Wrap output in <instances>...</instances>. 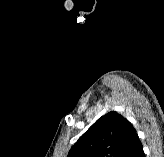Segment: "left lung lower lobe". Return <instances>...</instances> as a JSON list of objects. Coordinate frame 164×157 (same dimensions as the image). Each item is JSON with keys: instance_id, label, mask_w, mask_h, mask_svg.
Here are the masks:
<instances>
[{"instance_id": "obj_1", "label": "left lung lower lobe", "mask_w": 164, "mask_h": 157, "mask_svg": "<svg viewBox=\"0 0 164 157\" xmlns=\"http://www.w3.org/2000/svg\"><path fill=\"white\" fill-rule=\"evenodd\" d=\"M121 157H145L142 144L137 134L132 137Z\"/></svg>"}]
</instances>
